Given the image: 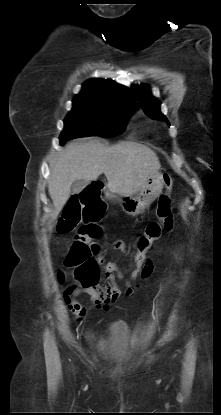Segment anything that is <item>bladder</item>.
<instances>
[{
	"label": "bladder",
	"instance_id": "1",
	"mask_svg": "<svg viewBox=\"0 0 221 415\" xmlns=\"http://www.w3.org/2000/svg\"><path fill=\"white\" fill-rule=\"evenodd\" d=\"M99 348L109 357L120 359L129 355L132 350L131 332L123 321L109 325L106 335L99 341Z\"/></svg>",
	"mask_w": 221,
	"mask_h": 415
}]
</instances>
